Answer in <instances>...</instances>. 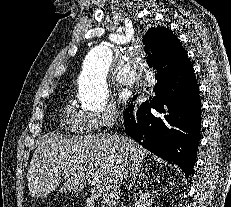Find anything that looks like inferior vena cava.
Returning <instances> with one entry per match:
<instances>
[{
  "mask_svg": "<svg viewBox=\"0 0 231 207\" xmlns=\"http://www.w3.org/2000/svg\"><path fill=\"white\" fill-rule=\"evenodd\" d=\"M110 138H111V140L113 141L114 146H117L118 143H119V136L117 135V133H116V132H115V133H112V132H111Z\"/></svg>",
  "mask_w": 231,
  "mask_h": 207,
  "instance_id": "obj_1",
  "label": "inferior vena cava"
}]
</instances>
